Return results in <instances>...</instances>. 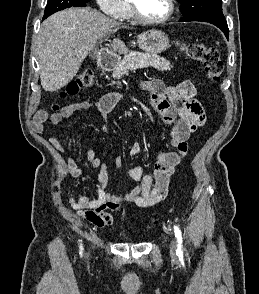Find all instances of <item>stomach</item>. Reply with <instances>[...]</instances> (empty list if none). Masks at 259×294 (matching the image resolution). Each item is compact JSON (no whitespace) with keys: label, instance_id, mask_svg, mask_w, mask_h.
I'll return each instance as SVG.
<instances>
[{"label":"stomach","instance_id":"stomach-1","mask_svg":"<svg viewBox=\"0 0 259 294\" xmlns=\"http://www.w3.org/2000/svg\"><path fill=\"white\" fill-rule=\"evenodd\" d=\"M137 45L145 53L157 55L170 47V41L164 32L152 29L138 36Z\"/></svg>","mask_w":259,"mask_h":294}]
</instances>
